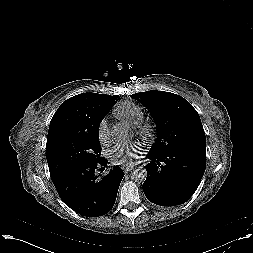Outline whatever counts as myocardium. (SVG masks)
<instances>
[{"label": "myocardium", "mask_w": 253, "mask_h": 253, "mask_svg": "<svg viewBox=\"0 0 253 253\" xmlns=\"http://www.w3.org/2000/svg\"><path fill=\"white\" fill-rule=\"evenodd\" d=\"M135 130L137 134L143 137L145 140L153 139L155 134V126L151 122L139 123Z\"/></svg>", "instance_id": "myocardium-1"}]
</instances>
